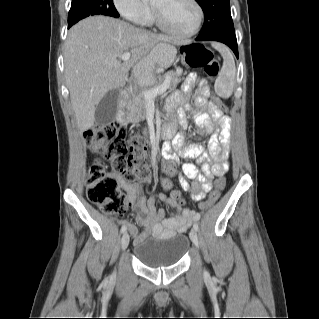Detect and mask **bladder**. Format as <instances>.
<instances>
[{
    "instance_id": "31cf9c89",
    "label": "bladder",
    "mask_w": 319,
    "mask_h": 319,
    "mask_svg": "<svg viewBox=\"0 0 319 319\" xmlns=\"http://www.w3.org/2000/svg\"><path fill=\"white\" fill-rule=\"evenodd\" d=\"M191 249L187 235L145 236L136 242L134 256L147 267H164L179 263Z\"/></svg>"
}]
</instances>
